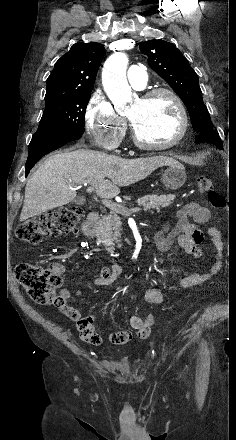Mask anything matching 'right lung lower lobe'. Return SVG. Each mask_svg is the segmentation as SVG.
I'll return each mask as SVG.
<instances>
[{"label": "right lung lower lobe", "mask_w": 236, "mask_h": 440, "mask_svg": "<svg viewBox=\"0 0 236 440\" xmlns=\"http://www.w3.org/2000/svg\"><path fill=\"white\" fill-rule=\"evenodd\" d=\"M82 134L75 132H66L58 134H34L29 144L28 159L25 165L26 176L29 174L31 168L44 155L51 151L58 149L64 144L78 140Z\"/></svg>", "instance_id": "obj_1"}]
</instances>
